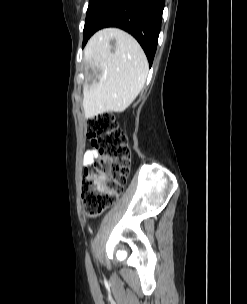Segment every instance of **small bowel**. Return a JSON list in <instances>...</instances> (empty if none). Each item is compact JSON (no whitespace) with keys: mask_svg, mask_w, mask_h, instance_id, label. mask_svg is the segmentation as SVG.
Here are the masks:
<instances>
[{"mask_svg":"<svg viewBox=\"0 0 247 304\" xmlns=\"http://www.w3.org/2000/svg\"><path fill=\"white\" fill-rule=\"evenodd\" d=\"M98 152L94 149L87 150L83 157V165L85 167L91 166L94 161L98 158Z\"/></svg>","mask_w":247,"mask_h":304,"instance_id":"c3829d8e","label":"small bowel"}]
</instances>
